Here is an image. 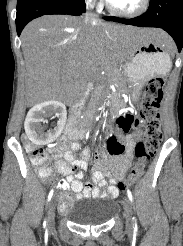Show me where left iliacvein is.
Masks as SVG:
<instances>
[{
  "label": "left iliac vein",
  "mask_w": 183,
  "mask_h": 246,
  "mask_svg": "<svg viewBox=\"0 0 183 246\" xmlns=\"http://www.w3.org/2000/svg\"><path fill=\"white\" fill-rule=\"evenodd\" d=\"M123 207L126 218V227L130 230L133 227L132 206L130 200L127 197H125L123 201Z\"/></svg>",
  "instance_id": "1"
}]
</instances>
